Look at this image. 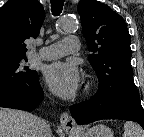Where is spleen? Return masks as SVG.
<instances>
[{
    "instance_id": "1",
    "label": "spleen",
    "mask_w": 144,
    "mask_h": 137,
    "mask_svg": "<svg viewBox=\"0 0 144 137\" xmlns=\"http://www.w3.org/2000/svg\"><path fill=\"white\" fill-rule=\"evenodd\" d=\"M123 137H144V131L141 127L131 121L124 123Z\"/></svg>"
}]
</instances>
